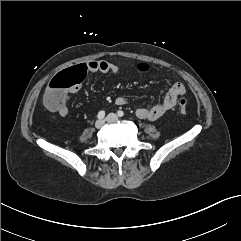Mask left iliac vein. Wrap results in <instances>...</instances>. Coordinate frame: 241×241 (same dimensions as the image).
<instances>
[{"label":"left iliac vein","instance_id":"4c4485c4","mask_svg":"<svg viewBox=\"0 0 241 241\" xmlns=\"http://www.w3.org/2000/svg\"><path fill=\"white\" fill-rule=\"evenodd\" d=\"M117 120H118V116L114 113H110L106 117V121H108V122H115Z\"/></svg>","mask_w":241,"mask_h":241}]
</instances>
